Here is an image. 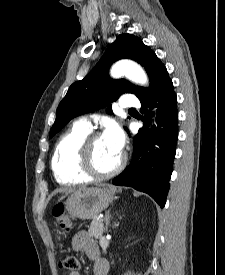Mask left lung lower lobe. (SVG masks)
Returning <instances> with one entry per match:
<instances>
[{
	"label": "left lung lower lobe",
	"mask_w": 225,
	"mask_h": 275,
	"mask_svg": "<svg viewBox=\"0 0 225 275\" xmlns=\"http://www.w3.org/2000/svg\"><path fill=\"white\" fill-rule=\"evenodd\" d=\"M143 121L150 123L151 109L157 107V127L133 139V156L128 167L112 181L149 194L164 207L173 169L178 139L177 97L167 70H163L144 94L139 97ZM148 126V125H147Z\"/></svg>",
	"instance_id": "left-lung-lower-lobe-1"
}]
</instances>
